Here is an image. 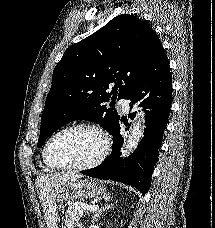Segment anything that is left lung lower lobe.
I'll list each match as a JSON object with an SVG mask.
<instances>
[{
	"label": "left lung lower lobe",
	"instance_id": "1",
	"mask_svg": "<svg viewBox=\"0 0 215 228\" xmlns=\"http://www.w3.org/2000/svg\"><path fill=\"white\" fill-rule=\"evenodd\" d=\"M171 95L170 66L164 49H162L150 70L126 98L132 104L142 100L138 106L145 108L143 111L146 114V128L138 148L128 158L120 157L123 137L120 134V124L118 123L111 134L113 146L110 156L98 167L83 170L81 173L90 177L132 185L145 195L150 188L153 167L158 161V149L161 147L162 137L167 126ZM130 107L133 108V105ZM135 114L136 112L130 114L129 117L133 119Z\"/></svg>",
	"mask_w": 215,
	"mask_h": 228
}]
</instances>
